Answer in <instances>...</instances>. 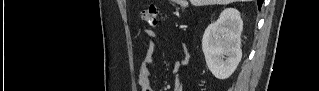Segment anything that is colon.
I'll return each mask as SVG.
<instances>
[{"label":"colon","mask_w":319,"mask_h":91,"mask_svg":"<svg viewBox=\"0 0 319 91\" xmlns=\"http://www.w3.org/2000/svg\"><path fill=\"white\" fill-rule=\"evenodd\" d=\"M157 6L155 4H149L146 8L141 11V20L152 28H156L157 22Z\"/></svg>","instance_id":"5ec220e1"}]
</instances>
